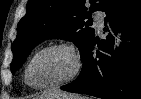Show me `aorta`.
Segmentation results:
<instances>
[{
  "instance_id": "obj_1",
  "label": "aorta",
  "mask_w": 141,
  "mask_h": 99,
  "mask_svg": "<svg viewBox=\"0 0 141 99\" xmlns=\"http://www.w3.org/2000/svg\"><path fill=\"white\" fill-rule=\"evenodd\" d=\"M121 42V33L117 34V37L115 38V48L120 45Z\"/></svg>"
}]
</instances>
